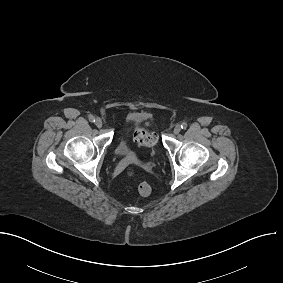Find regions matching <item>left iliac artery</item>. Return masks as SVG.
<instances>
[{
    "instance_id": "obj_1",
    "label": "left iliac artery",
    "mask_w": 283,
    "mask_h": 283,
    "mask_svg": "<svg viewBox=\"0 0 283 283\" xmlns=\"http://www.w3.org/2000/svg\"><path fill=\"white\" fill-rule=\"evenodd\" d=\"M181 128H182V129H186V128H187V123H186V122H183V123L181 124Z\"/></svg>"
}]
</instances>
